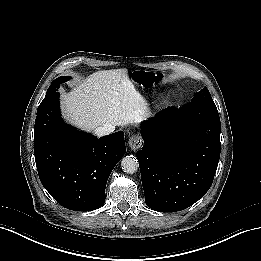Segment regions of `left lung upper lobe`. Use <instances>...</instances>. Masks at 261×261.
I'll return each instance as SVG.
<instances>
[{
  "label": "left lung upper lobe",
  "mask_w": 261,
  "mask_h": 261,
  "mask_svg": "<svg viewBox=\"0 0 261 261\" xmlns=\"http://www.w3.org/2000/svg\"><path fill=\"white\" fill-rule=\"evenodd\" d=\"M191 103L216 108L208 89L205 87L192 98Z\"/></svg>",
  "instance_id": "left-lung-upper-lobe-1"
}]
</instances>
